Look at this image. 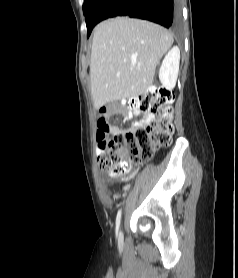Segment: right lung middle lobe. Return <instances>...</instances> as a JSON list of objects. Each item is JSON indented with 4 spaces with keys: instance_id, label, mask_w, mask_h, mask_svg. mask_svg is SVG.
<instances>
[{
    "instance_id": "right-lung-middle-lobe-1",
    "label": "right lung middle lobe",
    "mask_w": 238,
    "mask_h": 278,
    "mask_svg": "<svg viewBox=\"0 0 238 278\" xmlns=\"http://www.w3.org/2000/svg\"><path fill=\"white\" fill-rule=\"evenodd\" d=\"M96 0H84L83 13L86 15L88 9L95 3Z\"/></svg>"
}]
</instances>
